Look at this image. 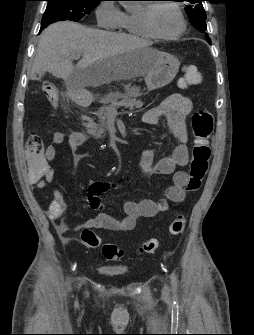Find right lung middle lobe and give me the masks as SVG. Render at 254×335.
<instances>
[{
    "instance_id": "1",
    "label": "right lung middle lobe",
    "mask_w": 254,
    "mask_h": 335,
    "mask_svg": "<svg viewBox=\"0 0 254 335\" xmlns=\"http://www.w3.org/2000/svg\"><path fill=\"white\" fill-rule=\"evenodd\" d=\"M48 5L42 18L41 25L71 20L78 21L89 14L101 0H46Z\"/></svg>"
}]
</instances>
